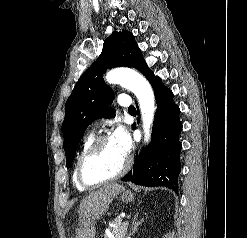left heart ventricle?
I'll use <instances>...</instances> for the list:
<instances>
[{
  "label": "left heart ventricle",
  "mask_w": 247,
  "mask_h": 238,
  "mask_svg": "<svg viewBox=\"0 0 247 238\" xmlns=\"http://www.w3.org/2000/svg\"><path fill=\"white\" fill-rule=\"evenodd\" d=\"M126 156L112 140L106 141L88 161L85 174L90 180H97L116 174L124 165Z\"/></svg>",
  "instance_id": "1"
}]
</instances>
